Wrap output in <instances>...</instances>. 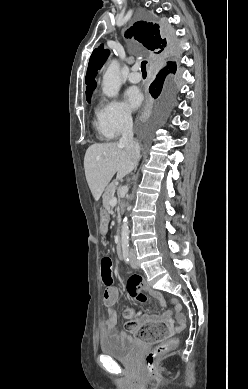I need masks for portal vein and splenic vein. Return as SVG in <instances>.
Returning <instances> with one entry per match:
<instances>
[{"label":"portal vein and splenic vein","instance_id":"1","mask_svg":"<svg viewBox=\"0 0 248 389\" xmlns=\"http://www.w3.org/2000/svg\"><path fill=\"white\" fill-rule=\"evenodd\" d=\"M110 205L111 206H115L116 204H117V199L115 198V197H112L111 199H110Z\"/></svg>","mask_w":248,"mask_h":389}]
</instances>
